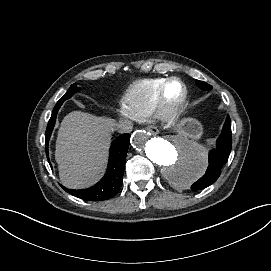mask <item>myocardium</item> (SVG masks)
Masks as SVG:
<instances>
[{"label": "myocardium", "mask_w": 271, "mask_h": 271, "mask_svg": "<svg viewBox=\"0 0 271 271\" xmlns=\"http://www.w3.org/2000/svg\"><path fill=\"white\" fill-rule=\"evenodd\" d=\"M175 82L180 83L183 87L182 93L178 96H172L169 92L170 86ZM188 99L189 87L187 83L177 76L168 78L160 91L158 102L159 115L164 120L175 119L183 111Z\"/></svg>", "instance_id": "myocardium-1"}]
</instances>
